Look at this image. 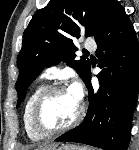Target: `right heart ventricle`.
<instances>
[{"label":"right heart ventricle","mask_w":139,"mask_h":150,"mask_svg":"<svg viewBox=\"0 0 139 150\" xmlns=\"http://www.w3.org/2000/svg\"><path fill=\"white\" fill-rule=\"evenodd\" d=\"M45 88L44 84H39L37 85L33 91L31 92V94L29 95L25 106H24V110H23V126L25 129V132L27 134V136L34 141H38L43 139L45 136H42L40 134H38L32 127L31 124V113H32V108L33 105L37 99V97L40 95V93L43 91V89Z\"/></svg>","instance_id":"e07e8e85"}]
</instances>
